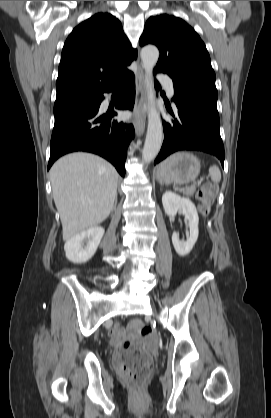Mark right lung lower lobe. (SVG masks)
Masks as SVG:
<instances>
[{
  "instance_id": "obj_1",
  "label": "right lung lower lobe",
  "mask_w": 271,
  "mask_h": 418,
  "mask_svg": "<svg viewBox=\"0 0 271 418\" xmlns=\"http://www.w3.org/2000/svg\"><path fill=\"white\" fill-rule=\"evenodd\" d=\"M118 92L116 108L132 109L135 101V80L127 71L104 92ZM103 92V93H104ZM103 93L92 102L66 108L55 113V124L50 143L48 170L61 156L75 151L98 154L110 161L124 176L127 147L134 137L132 124L117 122L115 112L99 111Z\"/></svg>"
}]
</instances>
